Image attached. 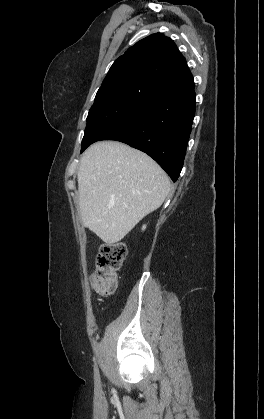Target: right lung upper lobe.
I'll return each mask as SVG.
<instances>
[{"mask_svg":"<svg viewBox=\"0 0 264 419\" xmlns=\"http://www.w3.org/2000/svg\"><path fill=\"white\" fill-rule=\"evenodd\" d=\"M128 84L154 96L194 85L185 58L172 39L152 34L130 47L117 58L101 88Z\"/></svg>","mask_w":264,"mask_h":419,"instance_id":"cb5924a9","label":"right lung upper lobe"}]
</instances>
